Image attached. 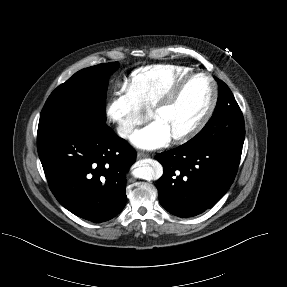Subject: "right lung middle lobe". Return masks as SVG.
I'll use <instances>...</instances> for the list:
<instances>
[{"mask_svg":"<svg viewBox=\"0 0 287 287\" xmlns=\"http://www.w3.org/2000/svg\"><path fill=\"white\" fill-rule=\"evenodd\" d=\"M118 67V62L88 67L57 87L42 109L38 136L105 125L107 77Z\"/></svg>","mask_w":287,"mask_h":287,"instance_id":"1","label":"right lung middle lobe"}]
</instances>
